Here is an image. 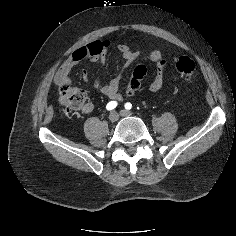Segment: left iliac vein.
<instances>
[{"label": "left iliac vein", "instance_id": "obj_1", "mask_svg": "<svg viewBox=\"0 0 236 236\" xmlns=\"http://www.w3.org/2000/svg\"><path fill=\"white\" fill-rule=\"evenodd\" d=\"M120 115L123 117H130V116H132V112L128 111V110H121Z\"/></svg>", "mask_w": 236, "mask_h": 236}]
</instances>
